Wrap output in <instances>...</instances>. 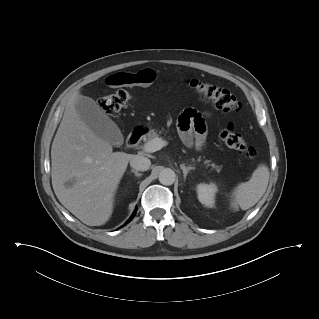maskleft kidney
<instances>
[{
    "label": "left kidney",
    "mask_w": 319,
    "mask_h": 319,
    "mask_svg": "<svg viewBox=\"0 0 319 319\" xmlns=\"http://www.w3.org/2000/svg\"><path fill=\"white\" fill-rule=\"evenodd\" d=\"M198 200L206 207L212 208L215 204V194L217 186L214 183L206 184L200 183L196 187Z\"/></svg>",
    "instance_id": "5707ae66"
}]
</instances>
